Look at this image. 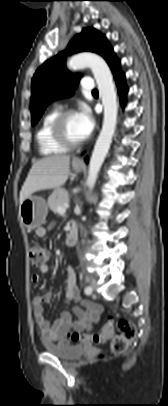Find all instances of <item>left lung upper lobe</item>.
Here are the masks:
<instances>
[{
	"label": "left lung upper lobe",
	"instance_id": "5c2ea615",
	"mask_svg": "<svg viewBox=\"0 0 168 406\" xmlns=\"http://www.w3.org/2000/svg\"><path fill=\"white\" fill-rule=\"evenodd\" d=\"M91 51L101 55L107 63L114 57L113 49L104 35L93 28L83 29L69 43L65 52L45 61L32 78V125L38 122L46 107L54 100L74 94L80 76L65 67L66 54Z\"/></svg>",
	"mask_w": 168,
	"mask_h": 406
}]
</instances>
